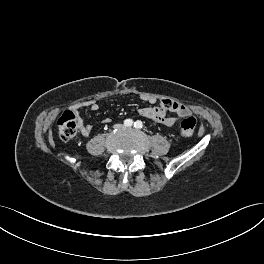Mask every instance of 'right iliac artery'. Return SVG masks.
<instances>
[{
	"label": "right iliac artery",
	"mask_w": 264,
	"mask_h": 264,
	"mask_svg": "<svg viewBox=\"0 0 264 264\" xmlns=\"http://www.w3.org/2000/svg\"><path fill=\"white\" fill-rule=\"evenodd\" d=\"M124 125H125L126 127H131V126L133 125V120H132V119H126V120L124 121Z\"/></svg>",
	"instance_id": "82829eb1"
}]
</instances>
